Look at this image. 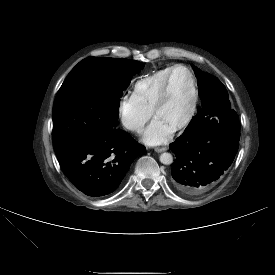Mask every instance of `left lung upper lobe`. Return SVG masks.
<instances>
[{"mask_svg": "<svg viewBox=\"0 0 275 275\" xmlns=\"http://www.w3.org/2000/svg\"><path fill=\"white\" fill-rule=\"evenodd\" d=\"M197 75L202 107L192 118L183 135H193L207 129L220 128L240 137V122L237 113L231 109L225 86L214 76L193 66Z\"/></svg>", "mask_w": 275, "mask_h": 275, "instance_id": "5c2ea615", "label": "left lung upper lobe"}]
</instances>
